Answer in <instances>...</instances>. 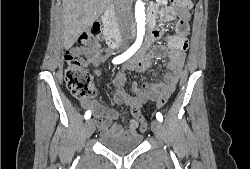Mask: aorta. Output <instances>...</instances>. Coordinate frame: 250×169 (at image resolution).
Masks as SVG:
<instances>
[{"label":"aorta","instance_id":"obj_1","mask_svg":"<svg viewBox=\"0 0 250 169\" xmlns=\"http://www.w3.org/2000/svg\"><path fill=\"white\" fill-rule=\"evenodd\" d=\"M135 18L137 22V38H141L142 40L145 34V24H146L145 6L142 0H136Z\"/></svg>","mask_w":250,"mask_h":169}]
</instances>
